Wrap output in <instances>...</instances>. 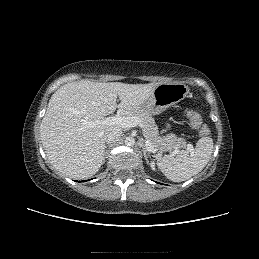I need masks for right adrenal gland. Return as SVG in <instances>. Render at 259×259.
<instances>
[{
    "instance_id": "2a0ac1e0",
    "label": "right adrenal gland",
    "mask_w": 259,
    "mask_h": 259,
    "mask_svg": "<svg viewBox=\"0 0 259 259\" xmlns=\"http://www.w3.org/2000/svg\"><path fill=\"white\" fill-rule=\"evenodd\" d=\"M110 145V143H107L106 145H105V151H104V160H105V158H106V154H107V147Z\"/></svg>"
}]
</instances>
